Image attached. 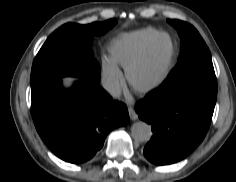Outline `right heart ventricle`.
<instances>
[{"instance_id":"1","label":"right heart ventricle","mask_w":236,"mask_h":182,"mask_svg":"<svg viewBox=\"0 0 236 182\" xmlns=\"http://www.w3.org/2000/svg\"><path fill=\"white\" fill-rule=\"evenodd\" d=\"M156 34L158 30L150 27L120 34L109 48V60L117 67L126 68L145 50Z\"/></svg>"}]
</instances>
